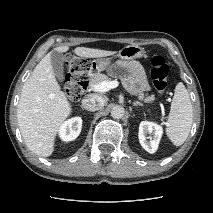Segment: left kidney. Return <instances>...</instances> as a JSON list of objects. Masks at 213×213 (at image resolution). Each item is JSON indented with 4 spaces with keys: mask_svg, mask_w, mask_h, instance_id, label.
<instances>
[{
    "mask_svg": "<svg viewBox=\"0 0 213 213\" xmlns=\"http://www.w3.org/2000/svg\"><path fill=\"white\" fill-rule=\"evenodd\" d=\"M147 134L152 137H147ZM162 134L163 128L154 122L142 121L139 125L140 144L149 153H154L157 150Z\"/></svg>",
    "mask_w": 213,
    "mask_h": 213,
    "instance_id": "left-kidney-1",
    "label": "left kidney"
}]
</instances>
